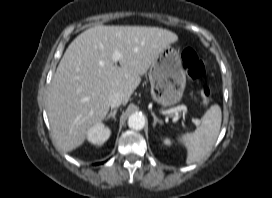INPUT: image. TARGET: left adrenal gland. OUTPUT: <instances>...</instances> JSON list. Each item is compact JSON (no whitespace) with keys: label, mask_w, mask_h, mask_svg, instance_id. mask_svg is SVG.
Wrapping results in <instances>:
<instances>
[{"label":"left adrenal gland","mask_w":272,"mask_h":198,"mask_svg":"<svg viewBox=\"0 0 272 198\" xmlns=\"http://www.w3.org/2000/svg\"><path fill=\"white\" fill-rule=\"evenodd\" d=\"M151 114H152L153 119H154L153 127L155 128L157 123H159L160 125H162V121L159 120V119L156 117L155 113H154V112H151Z\"/></svg>","instance_id":"a2214340"}]
</instances>
